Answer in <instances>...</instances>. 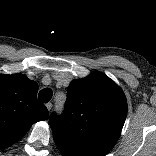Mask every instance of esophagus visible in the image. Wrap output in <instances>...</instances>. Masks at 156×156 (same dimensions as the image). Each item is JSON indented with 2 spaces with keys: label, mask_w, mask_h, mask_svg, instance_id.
I'll return each instance as SVG.
<instances>
[{
  "label": "esophagus",
  "mask_w": 156,
  "mask_h": 156,
  "mask_svg": "<svg viewBox=\"0 0 156 156\" xmlns=\"http://www.w3.org/2000/svg\"><path fill=\"white\" fill-rule=\"evenodd\" d=\"M46 107H47L48 111H50L52 109V103H47Z\"/></svg>",
  "instance_id": "1"
}]
</instances>
